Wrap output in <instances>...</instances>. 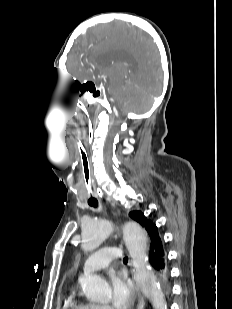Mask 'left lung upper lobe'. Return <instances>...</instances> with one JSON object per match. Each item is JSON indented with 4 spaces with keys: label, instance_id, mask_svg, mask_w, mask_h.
I'll use <instances>...</instances> for the list:
<instances>
[{
    "label": "left lung upper lobe",
    "instance_id": "obj_1",
    "mask_svg": "<svg viewBox=\"0 0 232 309\" xmlns=\"http://www.w3.org/2000/svg\"><path fill=\"white\" fill-rule=\"evenodd\" d=\"M130 217L139 222L146 231H150L154 224L151 220L147 219L141 211H133L130 213Z\"/></svg>",
    "mask_w": 232,
    "mask_h": 309
}]
</instances>
